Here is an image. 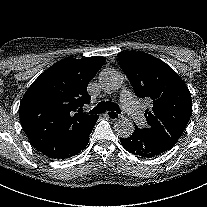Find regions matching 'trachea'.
<instances>
[{
    "mask_svg": "<svg viewBox=\"0 0 207 207\" xmlns=\"http://www.w3.org/2000/svg\"><path fill=\"white\" fill-rule=\"evenodd\" d=\"M106 110L116 111L119 114L121 113V110L117 104L110 102V101H107V102H100L95 108H93L91 111H89V114L104 113Z\"/></svg>",
    "mask_w": 207,
    "mask_h": 207,
    "instance_id": "3493384b",
    "label": "trachea"
}]
</instances>
